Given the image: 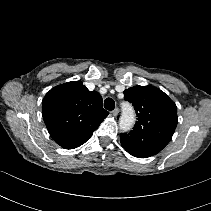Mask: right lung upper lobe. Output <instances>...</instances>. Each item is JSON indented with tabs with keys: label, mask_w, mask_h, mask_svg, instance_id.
Instances as JSON below:
<instances>
[{
	"label": "right lung upper lobe",
	"mask_w": 211,
	"mask_h": 211,
	"mask_svg": "<svg viewBox=\"0 0 211 211\" xmlns=\"http://www.w3.org/2000/svg\"><path fill=\"white\" fill-rule=\"evenodd\" d=\"M98 92L81 81L52 88L42 101V115L53 140L65 149L84 144L109 114Z\"/></svg>",
	"instance_id": "right-lung-upper-lobe-1"
}]
</instances>
